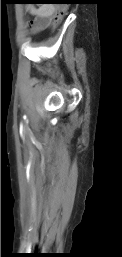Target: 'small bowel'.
Masks as SVG:
<instances>
[{
	"label": "small bowel",
	"mask_w": 122,
	"mask_h": 257,
	"mask_svg": "<svg viewBox=\"0 0 122 257\" xmlns=\"http://www.w3.org/2000/svg\"><path fill=\"white\" fill-rule=\"evenodd\" d=\"M29 11L34 15L31 27L34 32H39L51 25L54 21L55 8L52 5H41L39 7H30Z\"/></svg>",
	"instance_id": "1"
}]
</instances>
